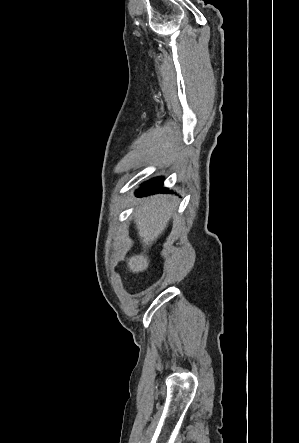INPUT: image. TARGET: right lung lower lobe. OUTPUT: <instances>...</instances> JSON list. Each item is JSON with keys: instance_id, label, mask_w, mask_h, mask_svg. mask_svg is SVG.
<instances>
[{"instance_id": "obj_1", "label": "right lung lower lobe", "mask_w": 299, "mask_h": 443, "mask_svg": "<svg viewBox=\"0 0 299 443\" xmlns=\"http://www.w3.org/2000/svg\"><path fill=\"white\" fill-rule=\"evenodd\" d=\"M161 191L167 192L168 190L163 187V179L158 177L145 182L142 187L137 190V196H145Z\"/></svg>"}]
</instances>
